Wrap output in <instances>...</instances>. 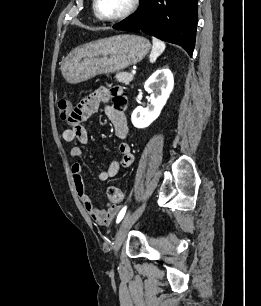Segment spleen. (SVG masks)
<instances>
[{"mask_svg": "<svg viewBox=\"0 0 261 306\" xmlns=\"http://www.w3.org/2000/svg\"><path fill=\"white\" fill-rule=\"evenodd\" d=\"M152 51L150 53V62L154 63L156 59L164 52L166 45L163 41L157 39V38H152Z\"/></svg>", "mask_w": 261, "mask_h": 306, "instance_id": "spleen-1", "label": "spleen"}]
</instances>
